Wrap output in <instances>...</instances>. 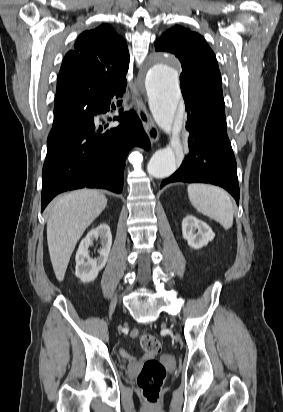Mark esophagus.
Returning a JSON list of instances; mask_svg holds the SVG:
<instances>
[{"instance_id":"34e87169","label":"esophagus","mask_w":283,"mask_h":412,"mask_svg":"<svg viewBox=\"0 0 283 412\" xmlns=\"http://www.w3.org/2000/svg\"><path fill=\"white\" fill-rule=\"evenodd\" d=\"M134 99L137 104V113L138 116L143 124L144 130L151 142V144L155 143L159 139V131L155 126L147 108L145 107L142 100H140L137 96L134 95Z\"/></svg>"}]
</instances>
